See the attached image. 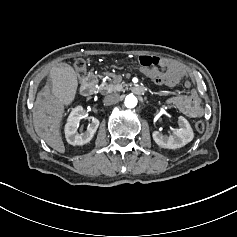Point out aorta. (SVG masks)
<instances>
[{
	"label": "aorta",
	"instance_id": "1",
	"mask_svg": "<svg viewBox=\"0 0 237 237\" xmlns=\"http://www.w3.org/2000/svg\"><path fill=\"white\" fill-rule=\"evenodd\" d=\"M124 104L127 108H134L137 105V98L133 94L126 96Z\"/></svg>",
	"mask_w": 237,
	"mask_h": 237
}]
</instances>
